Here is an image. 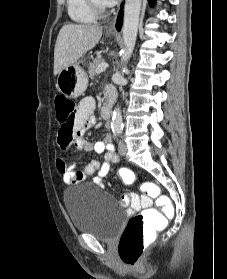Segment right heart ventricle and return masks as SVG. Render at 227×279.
<instances>
[{
	"mask_svg": "<svg viewBox=\"0 0 227 279\" xmlns=\"http://www.w3.org/2000/svg\"><path fill=\"white\" fill-rule=\"evenodd\" d=\"M67 10L74 22L87 24L95 20V15L89 9L86 0H67Z\"/></svg>",
	"mask_w": 227,
	"mask_h": 279,
	"instance_id": "1",
	"label": "right heart ventricle"
}]
</instances>
